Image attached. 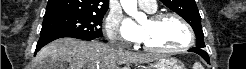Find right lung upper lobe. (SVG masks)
<instances>
[{"mask_svg":"<svg viewBox=\"0 0 246 69\" xmlns=\"http://www.w3.org/2000/svg\"><path fill=\"white\" fill-rule=\"evenodd\" d=\"M109 0H49L44 17L63 14L104 15Z\"/></svg>","mask_w":246,"mask_h":69,"instance_id":"obj_1","label":"right lung upper lobe"}]
</instances>
